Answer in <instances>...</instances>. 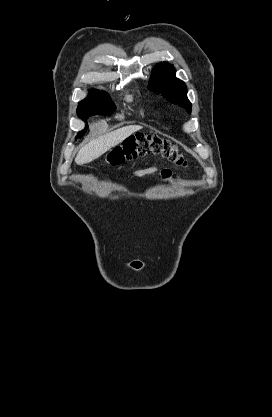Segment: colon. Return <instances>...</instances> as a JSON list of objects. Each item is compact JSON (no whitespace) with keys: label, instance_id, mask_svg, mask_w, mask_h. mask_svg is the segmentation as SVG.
Instances as JSON below:
<instances>
[{"label":"colon","instance_id":"5ec220e1","mask_svg":"<svg viewBox=\"0 0 272 417\" xmlns=\"http://www.w3.org/2000/svg\"><path fill=\"white\" fill-rule=\"evenodd\" d=\"M147 155H160L178 166H187L184 154L171 142L157 136L144 134L126 139L121 146L116 147L107 155L106 162L116 166Z\"/></svg>","mask_w":272,"mask_h":417}]
</instances>
